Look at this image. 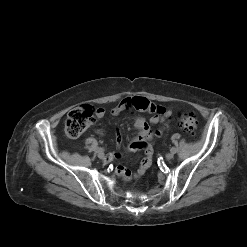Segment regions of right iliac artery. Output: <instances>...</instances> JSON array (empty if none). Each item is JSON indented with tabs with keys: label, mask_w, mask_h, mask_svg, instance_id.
Masks as SVG:
<instances>
[{
	"label": "right iliac artery",
	"mask_w": 247,
	"mask_h": 247,
	"mask_svg": "<svg viewBox=\"0 0 247 247\" xmlns=\"http://www.w3.org/2000/svg\"><path fill=\"white\" fill-rule=\"evenodd\" d=\"M100 151H101V152H103V151H104V149H103V148H101V147H98V148H97V152H100Z\"/></svg>",
	"instance_id": "right-iliac-artery-1"
}]
</instances>
